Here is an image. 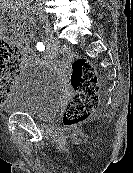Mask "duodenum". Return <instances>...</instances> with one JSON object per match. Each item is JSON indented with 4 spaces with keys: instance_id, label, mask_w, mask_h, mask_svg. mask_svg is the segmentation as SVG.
<instances>
[{
    "instance_id": "410a0bca",
    "label": "duodenum",
    "mask_w": 133,
    "mask_h": 173,
    "mask_svg": "<svg viewBox=\"0 0 133 173\" xmlns=\"http://www.w3.org/2000/svg\"><path fill=\"white\" fill-rule=\"evenodd\" d=\"M18 1L21 3L24 12H25L26 14H30L31 10H30V8L25 4V2H23L24 0H18Z\"/></svg>"
}]
</instances>
